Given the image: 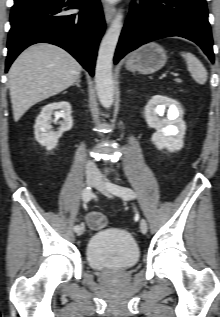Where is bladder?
<instances>
[{
  "instance_id": "1",
  "label": "bladder",
  "mask_w": 220,
  "mask_h": 317,
  "mask_svg": "<svg viewBox=\"0 0 220 317\" xmlns=\"http://www.w3.org/2000/svg\"><path fill=\"white\" fill-rule=\"evenodd\" d=\"M140 259V250L127 231L118 228L94 233L86 245V262L97 271H126Z\"/></svg>"
}]
</instances>
